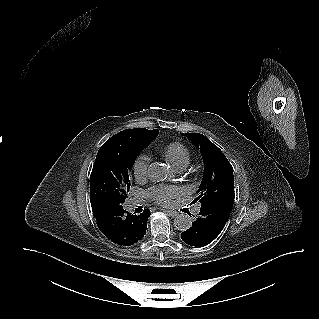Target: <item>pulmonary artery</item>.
<instances>
[{"label": "pulmonary artery", "instance_id": "e3ab8cb5", "mask_svg": "<svg viewBox=\"0 0 319 319\" xmlns=\"http://www.w3.org/2000/svg\"><path fill=\"white\" fill-rule=\"evenodd\" d=\"M200 212V206H197L196 208H195V213H199Z\"/></svg>", "mask_w": 319, "mask_h": 319}]
</instances>
